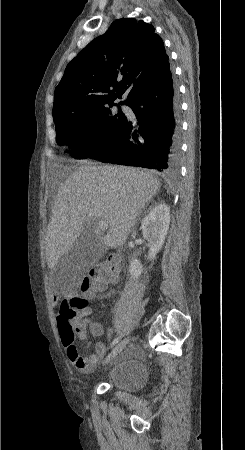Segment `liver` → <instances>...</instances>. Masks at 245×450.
<instances>
[{"label":"liver","mask_w":245,"mask_h":450,"mask_svg":"<svg viewBox=\"0 0 245 450\" xmlns=\"http://www.w3.org/2000/svg\"><path fill=\"white\" fill-rule=\"evenodd\" d=\"M160 186L159 179L133 167L82 165L70 172L58 189L45 235L48 267L71 250L91 221L108 223L100 239L104 246H122Z\"/></svg>","instance_id":"1"}]
</instances>
